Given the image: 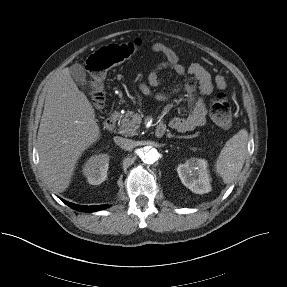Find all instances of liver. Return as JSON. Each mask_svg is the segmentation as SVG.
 I'll return each mask as SVG.
<instances>
[{
	"label": "liver",
	"instance_id": "obj_1",
	"mask_svg": "<svg viewBox=\"0 0 287 287\" xmlns=\"http://www.w3.org/2000/svg\"><path fill=\"white\" fill-rule=\"evenodd\" d=\"M99 138L95 110L66 67L50 81L37 136L40 168L54 191L69 187L79 158Z\"/></svg>",
	"mask_w": 287,
	"mask_h": 287
}]
</instances>
